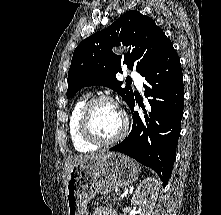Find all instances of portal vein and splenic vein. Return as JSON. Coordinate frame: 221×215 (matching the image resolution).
<instances>
[{"label":"portal vein and splenic vein","instance_id":"obj_1","mask_svg":"<svg viewBox=\"0 0 221 215\" xmlns=\"http://www.w3.org/2000/svg\"><path fill=\"white\" fill-rule=\"evenodd\" d=\"M123 196H119L118 198H119V200H121V198H122Z\"/></svg>","mask_w":221,"mask_h":215}]
</instances>
